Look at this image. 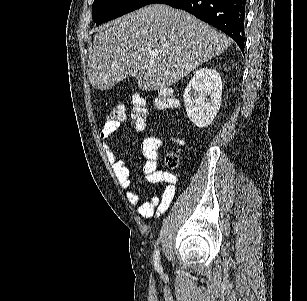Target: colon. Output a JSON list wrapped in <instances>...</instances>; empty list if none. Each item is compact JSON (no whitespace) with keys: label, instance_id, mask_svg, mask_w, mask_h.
<instances>
[{"label":"colon","instance_id":"5ec220e1","mask_svg":"<svg viewBox=\"0 0 307 301\" xmlns=\"http://www.w3.org/2000/svg\"><path fill=\"white\" fill-rule=\"evenodd\" d=\"M129 103L132 108L130 117H127L126 108L123 105H118L106 115V122L120 124L128 120L135 130H144L148 119L146 101L140 95L135 94L130 97ZM154 104L160 110L174 109L178 106V100L170 88H163L154 99ZM165 162L169 168L174 169L178 166L179 159L176 154L167 153Z\"/></svg>","mask_w":307,"mask_h":301}]
</instances>
